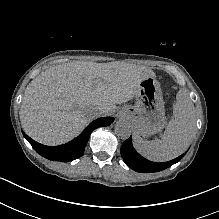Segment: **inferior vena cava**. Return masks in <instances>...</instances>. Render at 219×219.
I'll use <instances>...</instances> for the list:
<instances>
[{
  "label": "inferior vena cava",
  "instance_id": "1",
  "mask_svg": "<svg viewBox=\"0 0 219 219\" xmlns=\"http://www.w3.org/2000/svg\"><path fill=\"white\" fill-rule=\"evenodd\" d=\"M89 113L92 117L94 118H99L103 115L104 113V108L101 104L99 103H94L90 106L89 108Z\"/></svg>",
  "mask_w": 219,
  "mask_h": 219
}]
</instances>
